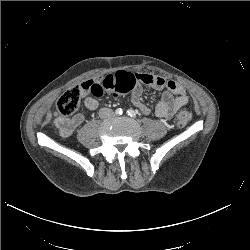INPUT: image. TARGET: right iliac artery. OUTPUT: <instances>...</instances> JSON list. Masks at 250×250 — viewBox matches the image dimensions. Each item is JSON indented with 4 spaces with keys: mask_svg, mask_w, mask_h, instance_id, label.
I'll return each instance as SVG.
<instances>
[{
    "mask_svg": "<svg viewBox=\"0 0 250 250\" xmlns=\"http://www.w3.org/2000/svg\"><path fill=\"white\" fill-rule=\"evenodd\" d=\"M116 115H122L123 111L121 108L116 109L115 111Z\"/></svg>",
    "mask_w": 250,
    "mask_h": 250,
    "instance_id": "1",
    "label": "right iliac artery"
}]
</instances>
